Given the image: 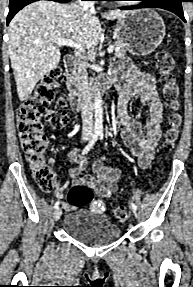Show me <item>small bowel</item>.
I'll return each mask as SVG.
<instances>
[{"label":"small bowel","mask_w":193,"mask_h":287,"mask_svg":"<svg viewBox=\"0 0 193 287\" xmlns=\"http://www.w3.org/2000/svg\"><path fill=\"white\" fill-rule=\"evenodd\" d=\"M113 72L118 77L120 89L116 125L121 130L124 143L136 157L138 165L146 168L154 157L163 123V105L156 91L155 78L126 59L115 61ZM134 97L149 109V120L144 128L128 112V102ZM50 119L51 117H48L49 122ZM79 151V147H73L68 153V159L77 165L65 168L70 180L58 187V195L69 185L83 184L89 186L98 197H109L118 189L120 170L105 166L106 153L100 160L92 163L93 174L83 175L88 162L78 158Z\"/></svg>","instance_id":"c3829d8e"}]
</instances>
